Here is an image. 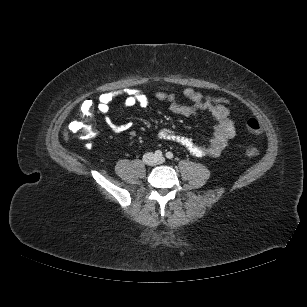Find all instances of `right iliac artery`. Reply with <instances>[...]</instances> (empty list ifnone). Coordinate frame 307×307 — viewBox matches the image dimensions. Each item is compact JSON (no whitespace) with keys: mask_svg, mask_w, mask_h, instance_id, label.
Returning <instances> with one entry per match:
<instances>
[{"mask_svg":"<svg viewBox=\"0 0 307 307\" xmlns=\"http://www.w3.org/2000/svg\"><path fill=\"white\" fill-rule=\"evenodd\" d=\"M162 151H160V150H157V151H155V153H154V156L157 158V159H159V158H161L162 157Z\"/></svg>","mask_w":307,"mask_h":307,"instance_id":"right-iliac-artery-1","label":"right iliac artery"}]
</instances>
